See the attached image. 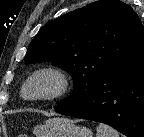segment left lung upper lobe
<instances>
[{"label": "left lung upper lobe", "instance_id": "left-lung-upper-lobe-1", "mask_svg": "<svg viewBox=\"0 0 144 137\" xmlns=\"http://www.w3.org/2000/svg\"><path fill=\"white\" fill-rule=\"evenodd\" d=\"M143 30L130 5L96 1L45 24L24 60L50 61L71 74L73 92L60 104L68 107L84 99L104 73L132 50Z\"/></svg>", "mask_w": 144, "mask_h": 137}]
</instances>
